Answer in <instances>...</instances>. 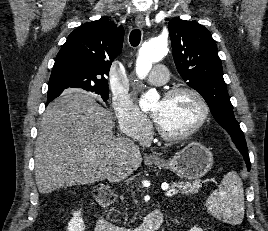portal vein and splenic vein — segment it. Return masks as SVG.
Wrapping results in <instances>:
<instances>
[{
	"label": "portal vein and splenic vein",
	"mask_w": 268,
	"mask_h": 231,
	"mask_svg": "<svg viewBox=\"0 0 268 231\" xmlns=\"http://www.w3.org/2000/svg\"><path fill=\"white\" fill-rule=\"evenodd\" d=\"M178 193V190L177 189H175V188H172V189H169V190H167V192H166V196L167 197H171V196H173V195H175V194H177Z\"/></svg>",
	"instance_id": "portal-vein-and-splenic-vein-1"
}]
</instances>
